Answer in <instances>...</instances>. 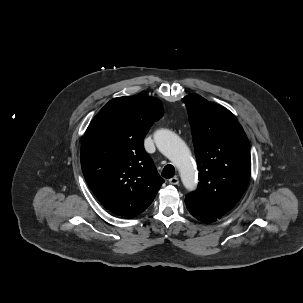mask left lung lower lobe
Listing matches in <instances>:
<instances>
[{"instance_id":"1","label":"left lung lower lobe","mask_w":303,"mask_h":303,"mask_svg":"<svg viewBox=\"0 0 303 303\" xmlns=\"http://www.w3.org/2000/svg\"><path fill=\"white\" fill-rule=\"evenodd\" d=\"M186 207L188 209V211L198 220H200L203 223L209 224L211 222H214L217 220L216 217L212 216L209 213H206L198 208H195L193 206H191L190 204L186 203Z\"/></svg>"}]
</instances>
